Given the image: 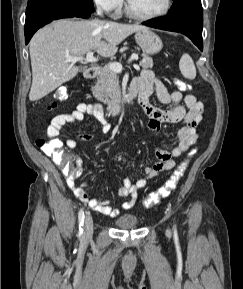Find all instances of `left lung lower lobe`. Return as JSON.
I'll list each match as a JSON object with an SVG mask.
<instances>
[{"mask_svg": "<svg viewBox=\"0 0 243 289\" xmlns=\"http://www.w3.org/2000/svg\"><path fill=\"white\" fill-rule=\"evenodd\" d=\"M142 24L182 33L189 37L201 51L203 50V10L200 0H175L166 16Z\"/></svg>", "mask_w": 243, "mask_h": 289, "instance_id": "left-lung-lower-lobe-1", "label": "left lung lower lobe"}]
</instances>
